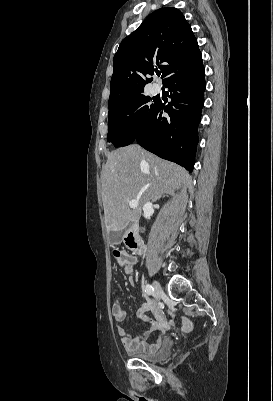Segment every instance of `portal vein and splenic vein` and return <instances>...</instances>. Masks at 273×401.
Here are the masks:
<instances>
[{"mask_svg":"<svg viewBox=\"0 0 273 401\" xmlns=\"http://www.w3.org/2000/svg\"><path fill=\"white\" fill-rule=\"evenodd\" d=\"M129 207L130 209H136V207H138V201H130Z\"/></svg>","mask_w":273,"mask_h":401,"instance_id":"1","label":"portal vein and splenic vein"}]
</instances>
